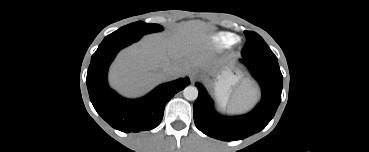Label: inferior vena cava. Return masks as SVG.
Listing matches in <instances>:
<instances>
[{
	"instance_id": "inferior-vena-cava-1",
	"label": "inferior vena cava",
	"mask_w": 369,
	"mask_h": 152,
	"mask_svg": "<svg viewBox=\"0 0 369 152\" xmlns=\"http://www.w3.org/2000/svg\"><path fill=\"white\" fill-rule=\"evenodd\" d=\"M164 72L169 77H174L178 74V69L174 66H168L164 69Z\"/></svg>"
}]
</instances>
